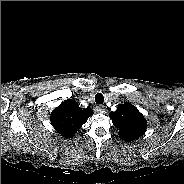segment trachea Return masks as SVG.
<instances>
[{"label":"trachea","mask_w":184,"mask_h":184,"mask_svg":"<svg viewBox=\"0 0 184 184\" xmlns=\"http://www.w3.org/2000/svg\"><path fill=\"white\" fill-rule=\"evenodd\" d=\"M95 102H96V104H98V105L103 104V102H104V97H103V95H102L101 93H97V94L95 95Z\"/></svg>","instance_id":"3493384b"}]
</instances>
